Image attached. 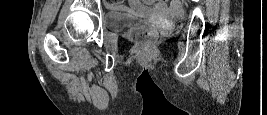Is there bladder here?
<instances>
[{"label":"bladder","mask_w":267,"mask_h":115,"mask_svg":"<svg viewBox=\"0 0 267 115\" xmlns=\"http://www.w3.org/2000/svg\"><path fill=\"white\" fill-rule=\"evenodd\" d=\"M143 17L137 15L108 13L105 17L106 26L112 30H123L138 26Z\"/></svg>","instance_id":"1"}]
</instances>
